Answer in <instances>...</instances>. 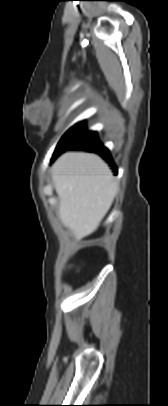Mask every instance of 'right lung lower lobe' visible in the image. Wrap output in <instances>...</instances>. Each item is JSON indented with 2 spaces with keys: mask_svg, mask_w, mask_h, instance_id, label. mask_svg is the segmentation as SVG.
<instances>
[{
  "mask_svg": "<svg viewBox=\"0 0 168 406\" xmlns=\"http://www.w3.org/2000/svg\"><path fill=\"white\" fill-rule=\"evenodd\" d=\"M67 150L89 151V152H94V153L100 154L117 171V168L112 161L109 151L100 143L97 134L89 136L88 138H86L80 142L70 145L69 147L65 148L64 150L59 152L57 155H55L52 159H55L59 154L63 153L64 151H67Z\"/></svg>",
  "mask_w": 168,
  "mask_h": 406,
  "instance_id": "obj_1",
  "label": "right lung lower lobe"
}]
</instances>
